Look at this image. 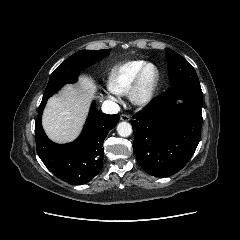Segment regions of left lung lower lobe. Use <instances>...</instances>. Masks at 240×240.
Instances as JSON below:
<instances>
[{
  "label": "left lung lower lobe",
  "mask_w": 240,
  "mask_h": 240,
  "mask_svg": "<svg viewBox=\"0 0 240 240\" xmlns=\"http://www.w3.org/2000/svg\"><path fill=\"white\" fill-rule=\"evenodd\" d=\"M202 97L200 84H178L133 116V150L145 172L167 177L190 160L200 141Z\"/></svg>",
  "instance_id": "1"
}]
</instances>
